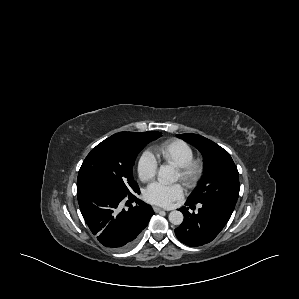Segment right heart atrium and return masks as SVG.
Here are the masks:
<instances>
[{
  "mask_svg": "<svg viewBox=\"0 0 299 299\" xmlns=\"http://www.w3.org/2000/svg\"><path fill=\"white\" fill-rule=\"evenodd\" d=\"M158 163L154 155L144 151L137 161V174L141 181H150L157 173Z\"/></svg>",
  "mask_w": 299,
  "mask_h": 299,
  "instance_id": "d8ad5b80",
  "label": "right heart atrium"
}]
</instances>
